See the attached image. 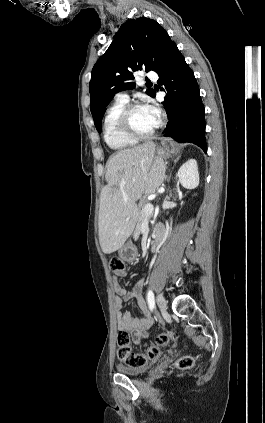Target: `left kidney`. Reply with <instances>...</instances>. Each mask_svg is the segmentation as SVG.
<instances>
[{"label":"left kidney","instance_id":"5707ae66","mask_svg":"<svg viewBox=\"0 0 265 423\" xmlns=\"http://www.w3.org/2000/svg\"><path fill=\"white\" fill-rule=\"evenodd\" d=\"M179 183L187 189H194L199 184L198 165L195 159H189L179 169Z\"/></svg>","mask_w":265,"mask_h":423}]
</instances>
